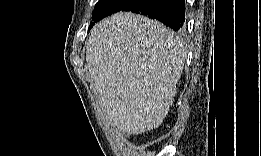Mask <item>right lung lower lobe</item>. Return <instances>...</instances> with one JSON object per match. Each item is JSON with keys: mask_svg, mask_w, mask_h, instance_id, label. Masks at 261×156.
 I'll list each match as a JSON object with an SVG mask.
<instances>
[{"mask_svg": "<svg viewBox=\"0 0 261 156\" xmlns=\"http://www.w3.org/2000/svg\"><path fill=\"white\" fill-rule=\"evenodd\" d=\"M121 10L157 19L173 30L181 29L185 21V0H131Z\"/></svg>", "mask_w": 261, "mask_h": 156, "instance_id": "right-lung-lower-lobe-1", "label": "right lung lower lobe"}]
</instances>
